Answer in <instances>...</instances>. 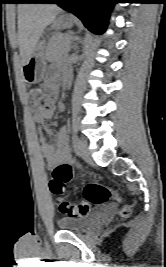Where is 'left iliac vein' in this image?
<instances>
[{
    "mask_svg": "<svg viewBox=\"0 0 166 267\" xmlns=\"http://www.w3.org/2000/svg\"><path fill=\"white\" fill-rule=\"evenodd\" d=\"M76 150L83 160H85L88 163L92 161L88 145L85 141L77 139Z\"/></svg>",
    "mask_w": 166,
    "mask_h": 267,
    "instance_id": "obj_1",
    "label": "left iliac vein"
}]
</instances>
